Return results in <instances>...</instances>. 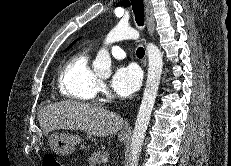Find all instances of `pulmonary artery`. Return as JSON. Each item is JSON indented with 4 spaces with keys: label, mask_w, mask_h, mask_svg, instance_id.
Segmentation results:
<instances>
[{
    "label": "pulmonary artery",
    "mask_w": 231,
    "mask_h": 166,
    "mask_svg": "<svg viewBox=\"0 0 231 166\" xmlns=\"http://www.w3.org/2000/svg\"><path fill=\"white\" fill-rule=\"evenodd\" d=\"M110 51H111V54L117 59H123L126 57L125 51L117 45H112L110 47Z\"/></svg>",
    "instance_id": "obj_1"
}]
</instances>
